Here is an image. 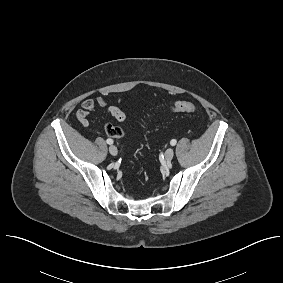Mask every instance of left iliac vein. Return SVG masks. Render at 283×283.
Here are the masks:
<instances>
[{"instance_id":"left-iliac-vein-1","label":"left iliac vein","mask_w":283,"mask_h":283,"mask_svg":"<svg viewBox=\"0 0 283 283\" xmlns=\"http://www.w3.org/2000/svg\"><path fill=\"white\" fill-rule=\"evenodd\" d=\"M174 150L172 148H168L165 152V159L167 162H170L173 159Z\"/></svg>"}]
</instances>
